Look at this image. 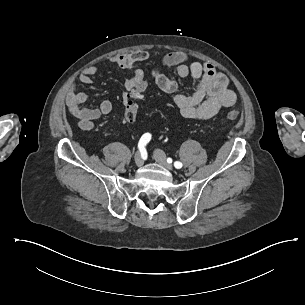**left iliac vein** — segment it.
Returning a JSON list of instances; mask_svg holds the SVG:
<instances>
[{"label": "left iliac vein", "mask_w": 305, "mask_h": 305, "mask_svg": "<svg viewBox=\"0 0 305 305\" xmlns=\"http://www.w3.org/2000/svg\"><path fill=\"white\" fill-rule=\"evenodd\" d=\"M154 157L156 159V161L162 165L165 169L172 171L173 170V166L171 164H169L166 160V155L163 151L158 150L154 153Z\"/></svg>", "instance_id": "left-iliac-vein-1"}]
</instances>
